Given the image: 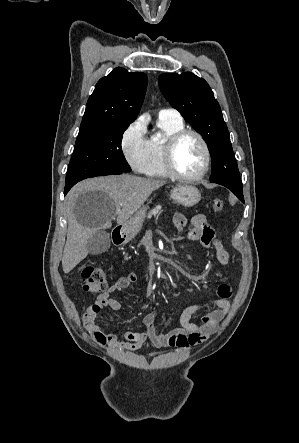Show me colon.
<instances>
[{"instance_id": "colon-1", "label": "colon", "mask_w": 299, "mask_h": 443, "mask_svg": "<svg viewBox=\"0 0 299 443\" xmlns=\"http://www.w3.org/2000/svg\"><path fill=\"white\" fill-rule=\"evenodd\" d=\"M224 209V201L222 199H215L213 201V210L217 213ZM83 289L90 293H98L107 287V276L103 267L86 266L82 270ZM93 310L99 313L101 310L94 305Z\"/></svg>"}]
</instances>
